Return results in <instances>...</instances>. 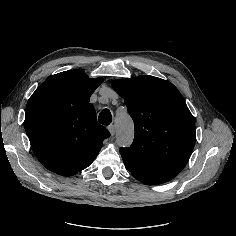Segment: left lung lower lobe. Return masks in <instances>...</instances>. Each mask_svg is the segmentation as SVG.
I'll return each mask as SVG.
<instances>
[{"instance_id":"0a47b994","label":"left lung lower lobe","mask_w":236,"mask_h":236,"mask_svg":"<svg viewBox=\"0 0 236 236\" xmlns=\"http://www.w3.org/2000/svg\"><path fill=\"white\" fill-rule=\"evenodd\" d=\"M137 180H139V181H141V182H143V183H146V184H154V183H152V182H150V181H148V180H145V179H143V178H141V177H138V176H135V175H133Z\"/></svg>"}]
</instances>
